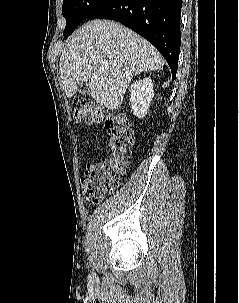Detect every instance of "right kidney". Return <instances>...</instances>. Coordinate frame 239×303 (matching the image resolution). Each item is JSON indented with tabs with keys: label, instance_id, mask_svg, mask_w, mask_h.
I'll list each match as a JSON object with an SVG mask.
<instances>
[{
	"label": "right kidney",
	"instance_id": "right-kidney-1",
	"mask_svg": "<svg viewBox=\"0 0 239 303\" xmlns=\"http://www.w3.org/2000/svg\"><path fill=\"white\" fill-rule=\"evenodd\" d=\"M130 103L134 115L143 118L149 109L150 102L154 97L153 83L150 77L139 79L130 88Z\"/></svg>",
	"mask_w": 239,
	"mask_h": 303
}]
</instances>
